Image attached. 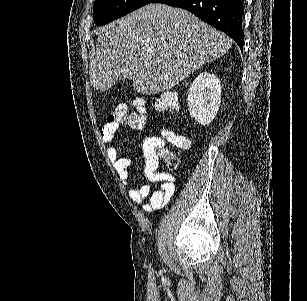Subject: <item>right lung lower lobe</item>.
<instances>
[{
	"instance_id": "right-lung-lower-lobe-1",
	"label": "right lung lower lobe",
	"mask_w": 307,
	"mask_h": 301,
	"mask_svg": "<svg viewBox=\"0 0 307 301\" xmlns=\"http://www.w3.org/2000/svg\"><path fill=\"white\" fill-rule=\"evenodd\" d=\"M186 9L230 36L243 49L244 0H151Z\"/></svg>"
}]
</instances>
